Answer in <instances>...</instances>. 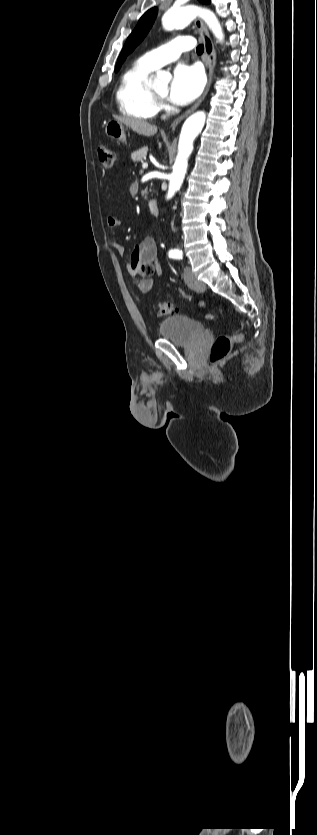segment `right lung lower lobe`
I'll return each instance as SVG.
<instances>
[{
  "label": "right lung lower lobe",
  "mask_w": 317,
  "mask_h": 835,
  "mask_svg": "<svg viewBox=\"0 0 317 835\" xmlns=\"http://www.w3.org/2000/svg\"><path fill=\"white\" fill-rule=\"evenodd\" d=\"M207 51H208V52H210V51H211V44H210V42H209V40H208V39H207Z\"/></svg>",
  "instance_id": "obj_1"
}]
</instances>
